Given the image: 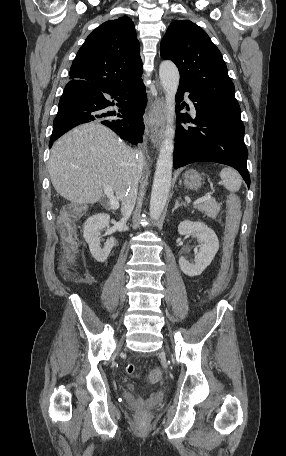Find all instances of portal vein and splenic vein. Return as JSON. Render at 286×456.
Listing matches in <instances>:
<instances>
[{"instance_id":"portal-vein-and-splenic-vein-1","label":"portal vein and splenic vein","mask_w":286,"mask_h":456,"mask_svg":"<svg viewBox=\"0 0 286 456\" xmlns=\"http://www.w3.org/2000/svg\"><path fill=\"white\" fill-rule=\"evenodd\" d=\"M104 193L108 197L112 208L113 209H117L118 206H119V202L116 199V197L114 196L113 190H112V188L109 185H105L104 186ZM209 199H211V196L210 195H205V196L197 199L193 204L194 205H198V204H200V203H202L204 201H207Z\"/></svg>"}]
</instances>
